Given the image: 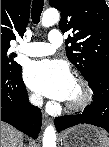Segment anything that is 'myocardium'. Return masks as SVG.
Returning <instances> with one entry per match:
<instances>
[{"label":"myocardium","instance_id":"f54148a6","mask_svg":"<svg viewBox=\"0 0 109 147\" xmlns=\"http://www.w3.org/2000/svg\"><path fill=\"white\" fill-rule=\"evenodd\" d=\"M73 80L79 83L82 88V98L75 103L66 102V108L69 111L78 112L85 109L92 101L93 92L89 82L80 74H74Z\"/></svg>","mask_w":109,"mask_h":147}]
</instances>
